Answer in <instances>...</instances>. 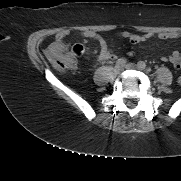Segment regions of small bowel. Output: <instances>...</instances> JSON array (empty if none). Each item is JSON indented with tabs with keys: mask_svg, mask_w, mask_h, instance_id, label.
Returning <instances> with one entry per match:
<instances>
[{
	"mask_svg": "<svg viewBox=\"0 0 181 181\" xmlns=\"http://www.w3.org/2000/svg\"><path fill=\"white\" fill-rule=\"evenodd\" d=\"M66 35H67L66 32H60L57 34L56 41H55L56 47L61 48V49L65 48V44L63 43V40ZM83 36L86 38L94 39L99 42V45H100V54L98 56L99 60L101 61L108 60V59L112 60L116 58V54L108 48L106 41L97 32L86 31L83 33ZM119 36L122 38L128 39L132 44H139V43H143L149 40L152 37H156L161 40L177 39L181 37V33L180 32H161L156 35H152L149 33L138 35V34H133L127 31H123L119 33ZM162 60L163 61L169 60L176 69L181 68V53L178 51H174L169 56L168 59L163 57Z\"/></svg>",
	"mask_w": 181,
	"mask_h": 181,
	"instance_id": "1",
	"label": "small bowel"
}]
</instances>
